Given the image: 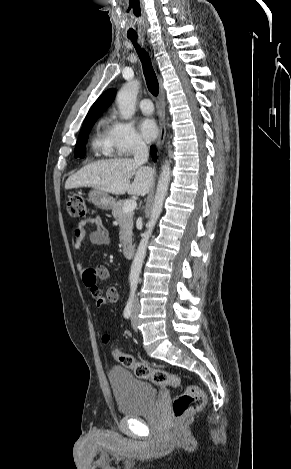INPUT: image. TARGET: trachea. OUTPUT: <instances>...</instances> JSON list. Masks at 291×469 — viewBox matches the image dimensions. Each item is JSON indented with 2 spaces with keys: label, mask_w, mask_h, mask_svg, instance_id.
Wrapping results in <instances>:
<instances>
[{
  "label": "trachea",
  "mask_w": 291,
  "mask_h": 469,
  "mask_svg": "<svg viewBox=\"0 0 291 469\" xmlns=\"http://www.w3.org/2000/svg\"><path fill=\"white\" fill-rule=\"evenodd\" d=\"M129 39L134 44V47L142 63L147 88L153 96H157L159 93V83L153 69L151 59L148 53L138 45L136 37H129Z\"/></svg>",
  "instance_id": "obj_1"
}]
</instances>
